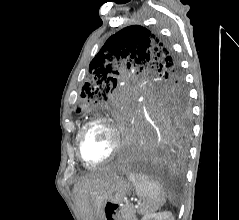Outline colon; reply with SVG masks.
<instances>
[{"instance_id": "5ec220e1", "label": "colon", "mask_w": 239, "mask_h": 220, "mask_svg": "<svg viewBox=\"0 0 239 220\" xmlns=\"http://www.w3.org/2000/svg\"><path fill=\"white\" fill-rule=\"evenodd\" d=\"M118 209H119V204L108 202L105 205V209H104L106 220H119L117 217Z\"/></svg>"}]
</instances>
